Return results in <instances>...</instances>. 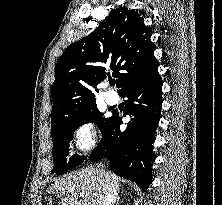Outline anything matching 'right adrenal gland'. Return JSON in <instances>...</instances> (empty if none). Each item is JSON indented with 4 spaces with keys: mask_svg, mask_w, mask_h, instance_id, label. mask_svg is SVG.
<instances>
[{
    "mask_svg": "<svg viewBox=\"0 0 222 205\" xmlns=\"http://www.w3.org/2000/svg\"><path fill=\"white\" fill-rule=\"evenodd\" d=\"M119 199H120V198L118 197V198H117V201H118V202H119ZM116 205H118V203H117Z\"/></svg>",
    "mask_w": 222,
    "mask_h": 205,
    "instance_id": "right-adrenal-gland-1",
    "label": "right adrenal gland"
}]
</instances>
